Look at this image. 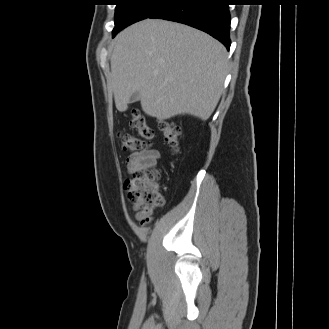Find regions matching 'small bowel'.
<instances>
[{"mask_svg": "<svg viewBox=\"0 0 329 329\" xmlns=\"http://www.w3.org/2000/svg\"><path fill=\"white\" fill-rule=\"evenodd\" d=\"M160 159V153L156 149H145L140 152L131 154L126 159V169L129 173H133L137 170L152 168L157 165ZM134 211V217L141 224L146 225L152 220V211L145 212L141 208L132 203Z\"/></svg>", "mask_w": 329, "mask_h": 329, "instance_id": "small-bowel-1", "label": "small bowel"}]
</instances>
